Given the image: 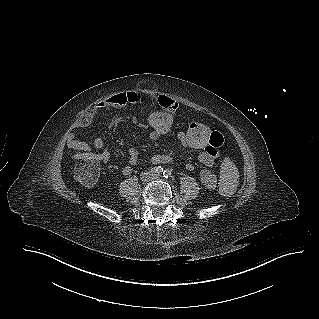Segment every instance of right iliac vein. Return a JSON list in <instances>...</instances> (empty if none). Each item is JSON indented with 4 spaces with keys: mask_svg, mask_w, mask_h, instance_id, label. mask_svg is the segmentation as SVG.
<instances>
[{
    "mask_svg": "<svg viewBox=\"0 0 319 319\" xmlns=\"http://www.w3.org/2000/svg\"><path fill=\"white\" fill-rule=\"evenodd\" d=\"M140 180L144 183L149 182L151 180V174L149 172H143L140 175Z\"/></svg>",
    "mask_w": 319,
    "mask_h": 319,
    "instance_id": "1",
    "label": "right iliac vein"
}]
</instances>
